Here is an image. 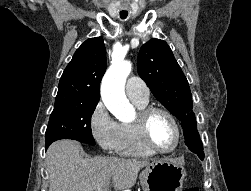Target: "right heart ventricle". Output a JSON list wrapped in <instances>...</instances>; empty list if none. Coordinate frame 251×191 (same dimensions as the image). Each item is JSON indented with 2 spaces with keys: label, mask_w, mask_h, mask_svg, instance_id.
I'll list each match as a JSON object with an SVG mask.
<instances>
[{
  "label": "right heart ventricle",
  "mask_w": 251,
  "mask_h": 191,
  "mask_svg": "<svg viewBox=\"0 0 251 191\" xmlns=\"http://www.w3.org/2000/svg\"><path fill=\"white\" fill-rule=\"evenodd\" d=\"M134 103L139 107L148 106V100H135ZM121 140L118 152L140 158H148L154 155L141 141L137 128L133 123L120 124Z\"/></svg>",
  "instance_id": "e07e8e85"
}]
</instances>
